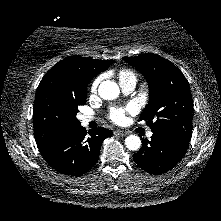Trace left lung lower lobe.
<instances>
[{"label": "left lung lower lobe", "mask_w": 221, "mask_h": 221, "mask_svg": "<svg viewBox=\"0 0 221 221\" xmlns=\"http://www.w3.org/2000/svg\"><path fill=\"white\" fill-rule=\"evenodd\" d=\"M189 142L182 138L153 132L151 141L143 139V146L133 155V160L150 174H162L173 169L183 158Z\"/></svg>", "instance_id": "0a47b994"}]
</instances>
